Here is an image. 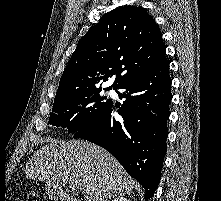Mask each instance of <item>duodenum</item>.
I'll use <instances>...</instances> for the list:
<instances>
[{
  "mask_svg": "<svg viewBox=\"0 0 221 201\" xmlns=\"http://www.w3.org/2000/svg\"><path fill=\"white\" fill-rule=\"evenodd\" d=\"M58 201H76L70 196H63L62 194L56 195Z\"/></svg>",
  "mask_w": 221,
  "mask_h": 201,
  "instance_id": "duodenum-1",
  "label": "duodenum"
}]
</instances>
